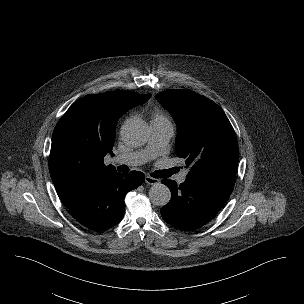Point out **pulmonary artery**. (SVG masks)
<instances>
[{"label":"pulmonary artery","mask_w":304,"mask_h":304,"mask_svg":"<svg viewBox=\"0 0 304 304\" xmlns=\"http://www.w3.org/2000/svg\"><path fill=\"white\" fill-rule=\"evenodd\" d=\"M173 135V127L170 123L151 122L150 138L144 149L121 154L113 159L115 164L128 166L142 165L162 153ZM187 172H182L177 177L178 183L186 181Z\"/></svg>","instance_id":"1"}]
</instances>
